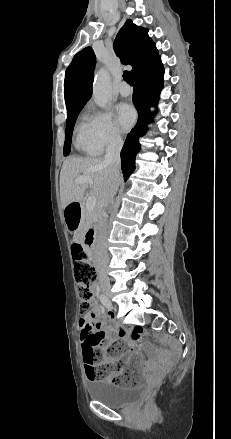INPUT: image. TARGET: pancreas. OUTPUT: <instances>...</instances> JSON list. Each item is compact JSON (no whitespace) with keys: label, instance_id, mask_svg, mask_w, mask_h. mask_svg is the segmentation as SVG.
I'll return each instance as SVG.
<instances>
[{"label":"pancreas","instance_id":"1","mask_svg":"<svg viewBox=\"0 0 231 439\" xmlns=\"http://www.w3.org/2000/svg\"><path fill=\"white\" fill-rule=\"evenodd\" d=\"M83 215H82V223H81V231L85 230L91 224L97 221V215L95 212H91L87 209V207H83Z\"/></svg>","mask_w":231,"mask_h":439}]
</instances>
